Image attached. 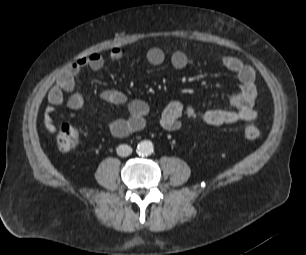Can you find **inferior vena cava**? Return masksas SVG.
<instances>
[{
  "instance_id": "1",
  "label": "inferior vena cava",
  "mask_w": 306,
  "mask_h": 255,
  "mask_svg": "<svg viewBox=\"0 0 306 255\" xmlns=\"http://www.w3.org/2000/svg\"><path fill=\"white\" fill-rule=\"evenodd\" d=\"M132 153V148L129 145L122 144L117 147V154L121 157L129 156Z\"/></svg>"
}]
</instances>
